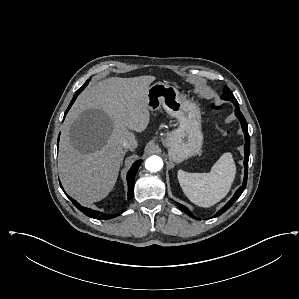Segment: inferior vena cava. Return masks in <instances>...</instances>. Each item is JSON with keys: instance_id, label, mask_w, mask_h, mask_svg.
<instances>
[{"instance_id": "1", "label": "inferior vena cava", "mask_w": 299, "mask_h": 299, "mask_svg": "<svg viewBox=\"0 0 299 299\" xmlns=\"http://www.w3.org/2000/svg\"><path fill=\"white\" fill-rule=\"evenodd\" d=\"M137 145V140L135 139L134 135L129 136L122 141V146L130 150L135 149Z\"/></svg>"}]
</instances>
